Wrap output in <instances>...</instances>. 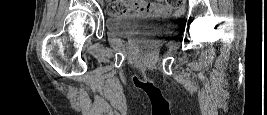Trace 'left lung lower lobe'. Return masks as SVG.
I'll list each match as a JSON object with an SVG mask.
<instances>
[{
	"mask_svg": "<svg viewBox=\"0 0 267 115\" xmlns=\"http://www.w3.org/2000/svg\"><path fill=\"white\" fill-rule=\"evenodd\" d=\"M137 87H144V86L137 85ZM148 88H150L151 90L156 91V92L159 91V90H158L157 88H155V87H148Z\"/></svg>",
	"mask_w": 267,
	"mask_h": 115,
	"instance_id": "left-lung-lower-lobe-1",
	"label": "left lung lower lobe"
}]
</instances>
